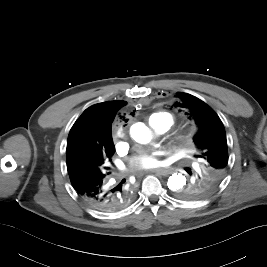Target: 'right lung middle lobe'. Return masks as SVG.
<instances>
[{"mask_svg":"<svg viewBox=\"0 0 267 267\" xmlns=\"http://www.w3.org/2000/svg\"><path fill=\"white\" fill-rule=\"evenodd\" d=\"M114 154L112 141L85 146L79 152L67 153V169L72 184L85 179L105 178L111 172L110 162Z\"/></svg>","mask_w":267,"mask_h":267,"instance_id":"right-lung-middle-lobe-1","label":"right lung middle lobe"}]
</instances>
